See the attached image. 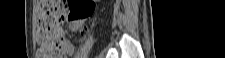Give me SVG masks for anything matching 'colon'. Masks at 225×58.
<instances>
[{"label": "colon", "mask_w": 225, "mask_h": 58, "mask_svg": "<svg viewBox=\"0 0 225 58\" xmlns=\"http://www.w3.org/2000/svg\"><path fill=\"white\" fill-rule=\"evenodd\" d=\"M91 0L79 1H37V31L36 40L40 45L39 58H65L63 47L65 19L79 21L88 17L94 11Z\"/></svg>", "instance_id": "1"}]
</instances>
